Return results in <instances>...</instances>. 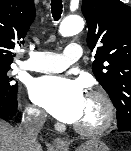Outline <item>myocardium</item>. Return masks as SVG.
Here are the masks:
<instances>
[{
  "label": "myocardium",
  "mask_w": 131,
  "mask_h": 151,
  "mask_svg": "<svg viewBox=\"0 0 131 151\" xmlns=\"http://www.w3.org/2000/svg\"><path fill=\"white\" fill-rule=\"evenodd\" d=\"M88 98L98 101L102 106V118L94 125L75 124L76 132L91 136L97 135L108 130L115 119V107L110 97L101 90H92L88 93Z\"/></svg>",
  "instance_id": "f54148a6"
}]
</instances>
